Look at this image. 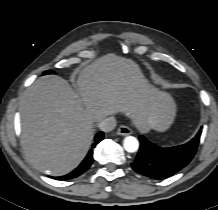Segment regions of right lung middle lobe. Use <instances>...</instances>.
I'll list each match as a JSON object with an SVG mask.
<instances>
[{"label":"right lung middle lobe","mask_w":218,"mask_h":210,"mask_svg":"<svg viewBox=\"0 0 218 210\" xmlns=\"http://www.w3.org/2000/svg\"><path fill=\"white\" fill-rule=\"evenodd\" d=\"M54 72L52 70H47L45 71L43 74L46 75V74H53Z\"/></svg>","instance_id":"1"}]
</instances>
